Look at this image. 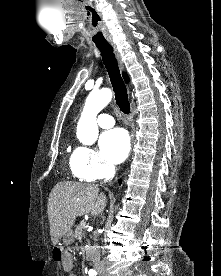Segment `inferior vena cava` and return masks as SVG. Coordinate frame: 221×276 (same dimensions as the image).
<instances>
[{"label": "inferior vena cava", "mask_w": 221, "mask_h": 276, "mask_svg": "<svg viewBox=\"0 0 221 276\" xmlns=\"http://www.w3.org/2000/svg\"><path fill=\"white\" fill-rule=\"evenodd\" d=\"M115 175V167L113 165H109L106 169V176L108 178H112ZM97 241V239H95ZM90 260L93 262L95 268H99L102 265L100 259V247L95 244L90 252L89 256Z\"/></svg>", "instance_id": "602c4592"}]
</instances>
